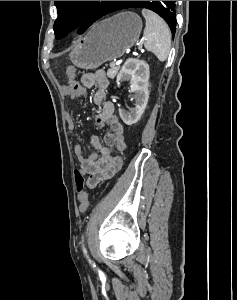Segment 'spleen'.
Returning a JSON list of instances; mask_svg holds the SVG:
<instances>
[{
  "instance_id": "1",
  "label": "spleen",
  "mask_w": 237,
  "mask_h": 300,
  "mask_svg": "<svg viewBox=\"0 0 237 300\" xmlns=\"http://www.w3.org/2000/svg\"><path fill=\"white\" fill-rule=\"evenodd\" d=\"M142 15L146 21L143 37L145 49L154 53L159 61H166L171 49V35L167 23L148 9H142Z\"/></svg>"
}]
</instances>
